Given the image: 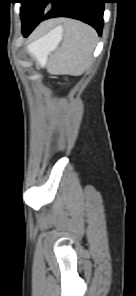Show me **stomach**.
Wrapping results in <instances>:
<instances>
[{"label":"stomach","instance_id":"0dacf381","mask_svg":"<svg viewBox=\"0 0 136 296\" xmlns=\"http://www.w3.org/2000/svg\"><path fill=\"white\" fill-rule=\"evenodd\" d=\"M53 32H54V29L51 30L46 35H44L43 37H41V38L37 39L36 41H34L33 43H31L28 46V50L31 53H33V55H35L33 49L40 50L43 58L45 60H47V56H48L49 52L52 51L56 47V45L58 44V42L61 39L60 32H56V33H53Z\"/></svg>","mask_w":136,"mask_h":296}]
</instances>
